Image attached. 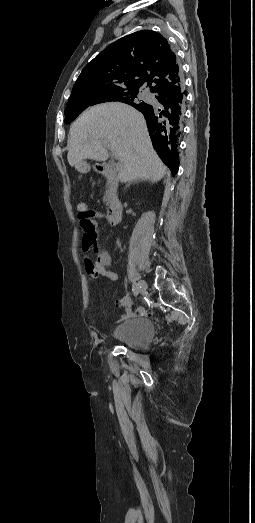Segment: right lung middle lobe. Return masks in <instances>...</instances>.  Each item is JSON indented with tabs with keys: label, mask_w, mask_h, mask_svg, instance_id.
<instances>
[{
	"label": "right lung middle lobe",
	"mask_w": 255,
	"mask_h": 523,
	"mask_svg": "<svg viewBox=\"0 0 255 523\" xmlns=\"http://www.w3.org/2000/svg\"><path fill=\"white\" fill-rule=\"evenodd\" d=\"M138 92H128L121 95L109 96L101 98L99 100L89 102V103H79V104H69L65 108V123L72 122L80 113H82L87 107L93 106L95 104L110 102V101H119L123 103H129L138 98Z\"/></svg>",
	"instance_id": "right-lung-middle-lobe-1"
}]
</instances>
